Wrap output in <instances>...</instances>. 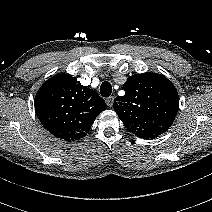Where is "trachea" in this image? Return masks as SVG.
<instances>
[{"label": "trachea", "instance_id": "1", "mask_svg": "<svg viewBox=\"0 0 212 212\" xmlns=\"http://www.w3.org/2000/svg\"><path fill=\"white\" fill-rule=\"evenodd\" d=\"M112 93V86L109 82L105 81L100 86V94L102 97H109Z\"/></svg>", "mask_w": 212, "mask_h": 212}]
</instances>
